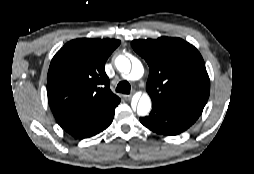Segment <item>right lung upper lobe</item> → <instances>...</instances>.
I'll return each mask as SVG.
<instances>
[{
  "mask_svg": "<svg viewBox=\"0 0 254 174\" xmlns=\"http://www.w3.org/2000/svg\"><path fill=\"white\" fill-rule=\"evenodd\" d=\"M119 44L116 39H75L55 54L47 75V95L60 126L92 110L119 104L104 70Z\"/></svg>",
  "mask_w": 254,
  "mask_h": 174,
  "instance_id": "1",
  "label": "right lung upper lobe"
}]
</instances>
